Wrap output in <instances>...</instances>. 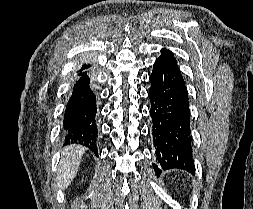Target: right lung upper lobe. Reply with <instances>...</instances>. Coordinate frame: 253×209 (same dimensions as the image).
Instances as JSON below:
<instances>
[{
  "mask_svg": "<svg viewBox=\"0 0 253 209\" xmlns=\"http://www.w3.org/2000/svg\"><path fill=\"white\" fill-rule=\"evenodd\" d=\"M89 67H91L90 64H83V65L79 68L78 72L86 71Z\"/></svg>",
  "mask_w": 253,
  "mask_h": 209,
  "instance_id": "right-lung-upper-lobe-1",
  "label": "right lung upper lobe"
}]
</instances>
